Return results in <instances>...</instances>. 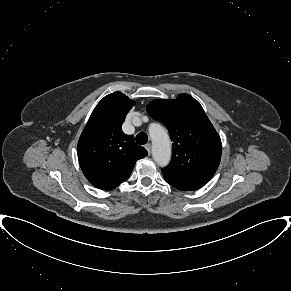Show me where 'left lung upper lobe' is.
Returning a JSON list of instances; mask_svg holds the SVG:
<instances>
[{"mask_svg":"<svg viewBox=\"0 0 291 291\" xmlns=\"http://www.w3.org/2000/svg\"><path fill=\"white\" fill-rule=\"evenodd\" d=\"M149 115L162 122L173 141L172 160L162 171L186 180L208 183L221 159V139L202 106L188 94L147 105Z\"/></svg>","mask_w":291,"mask_h":291,"instance_id":"left-lung-upper-lobe-1","label":"left lung upper lobe"}]
</instances>
